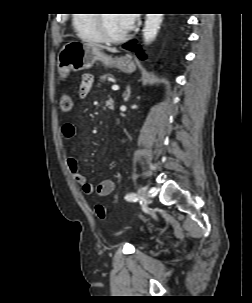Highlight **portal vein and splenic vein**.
Masks as SVG:
<instances>
[{"label": "portal vein and splenic vein", "mask_w": 252, "mask_h": 303, "mask_svg": "<svg viewBox=\"0 0 252 303\" xmlns=\"http://www.w3.org/2000/svg\"><path fill=\"white\" fill-rule=\"evenodd\" d=\"M112 90H114V91L119 90V86L114 84V85L112 86Z\"/></svg>", "instance_id": "obj_1"}]
</instances>
